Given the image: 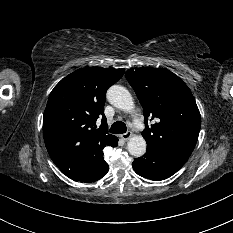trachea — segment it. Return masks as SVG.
<instances>
[{
	"mask_svg": "<svg viewBox=\"0 0 233 233\" xmlns=\"http://www.w3.org/2000/svg\"><path fill=\"white\" fill-rule=\"evenodd\" d=\"M127 131L126 124L123 123L122 121H116L112 124L110 128V132L113 134H123Z\"/></svg>",
	"mask_w": 233,
	"mask_h": 233,
	"instance_id": "3493384b",
	"label": "trachea"
}]
</instances>
